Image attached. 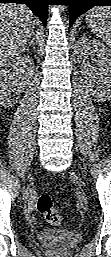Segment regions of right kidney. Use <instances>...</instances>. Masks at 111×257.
Returning a JSON list of instances; mask_svg holds the SVG:
<instances>
[{"instance_id": "right-kidney-1", "label": "right kidney", "mask_w": 111, "mask_h": 257, "mask_svg": "<svg viewBox=\"0 0 111 257\" xmlns=\"http://www.w3.org/2000/svg\"><path fill=\"white\" fill-rule=\"evenodd\" d=\"M34 61L19 56L1 70V103L11 106L33 77Z\"/></svg>"}]
</instances>
